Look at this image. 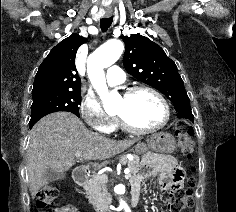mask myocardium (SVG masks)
<instances>
[{
    "mask_svg": "<svg viewBox=\"0 0 236 212\" xmlns=\"http://www.w3.org/2000/svg\"><path fill=\"white\" fill-rule=\"evenodd\" d=\"M139 91H147L150 92L151 94H153L154 96H156L159 101L162 103L163 108H164V119L161 123H159L157 126L152 127V128H139L134 126L133 124H131L124 116L117 114V120L119 122V124L121 125V127L130 133L133 134H138V135H144V134H151L154 132H157L159 130H161L162 128H164L170 121L171 118V110H170V106L169 103L167 102L166 98L161 94V92H159L157 89L145 85V84H137V85H133L128 87L124 93L123 96L124 97H130L133 94L139 92Z\"/></svg>",
    "mask_w": 236,
    "mask_h": 212,
    "instance_id": "obj_1",
    "label": "myocardium"
}]
</instances>
